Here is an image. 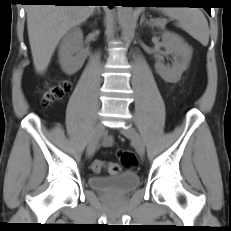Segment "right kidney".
<instances>
[{
    "mask_svg": "<svg viewBox=\"0 0 231 231\" xmlns=\"http://www.w3.org/2000/svg\"><path fill=\"white\" fill-rule=\"evenodd\" d=\"M83 33L75 29L63 41L59 49V62L62 70L67 74H74L83 66L85 54L83 52Z\"/></svg>",
    "mask_w": 231,
    "mask_h": 231,
    "instance_id": "obj_1",
    "label": "right kidney"
}]
</instances>
